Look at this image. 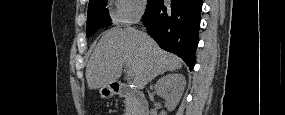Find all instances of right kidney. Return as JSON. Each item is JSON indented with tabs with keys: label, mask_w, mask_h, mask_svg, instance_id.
Returning a JSON list of instances; mask_svg holds the SVG:
<instances>
[{
	"label": "right kidney",
	"mask_w": 285,
	"mask_h": 115,
	"mask_svg": "<svg viewBox=\"0 0 285 115\" xmlns=\"http://www.w3.org/2000/svg\"><path fill=\"white\" fill-rule=\"evenodd\" d=\"M186 86V79L182 74H168L160 78L154 86V89L160 97L166 101L168 111L175 109L179 103ZM160 115H166L162 111Z\"/></svg>",
	"instance_id": "right-kidney-1"
}]
</instances>
